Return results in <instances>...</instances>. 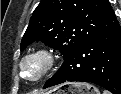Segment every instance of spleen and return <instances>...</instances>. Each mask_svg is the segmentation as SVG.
Here are the masks:
<instances>
[{
    "mask_svg": "<svg viewBox=\"0 0 121 94\" xmlns=\"http://www.w3.org/2000/svg\"><path fill=\"white\" fill-rule=\"evenodd\" d=\"M103 94H109L107 91H104Z\"/></svg>",
    "mask_w": 121,
    "mask_h": 94,
    "instance_id": "1",
    "label": "spleen"
}]
</instances>
